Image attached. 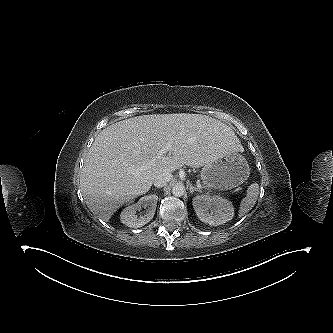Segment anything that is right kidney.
Wrapping results in <instances>:
<instances>
[{"label":"right kidney","mask_w":333,"mask_h":333,"mask_svg":"<svg viewBox=\"0 0 333 333\" xmlns=\"http://www.w3.org/2000/svg\"><path fill=\"white\" fill-rule=\"evenodd\" d=\"M157 200L158 196L152 194L144 196L137 203L127 206L121 212V222L131 228L144 226L153 218L156 211ZM142 208L146 209L144 215L137 216V211L142 210Z\"/></svg>","instance_id":"ca27d5eb"}]
</instances>
